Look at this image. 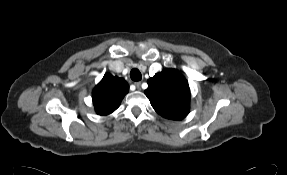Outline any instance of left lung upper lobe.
Returning <instances> with one entry per match:
<instances>
[{"instance_id": "obj_1", "label": "left lung upper lobe", "mask_w": 287, "mask_h": 175, "mask_svg": "<svg viewBox=\"0 0 287 175\" xmlns=\"http://www.w3.org/2000/svg\"><path fill=\"white\" fill-rule=\"evenodd\" d=\"M145 95L154 110L171 120H181L189 113L190 89L185 77L176 69L166 68L148 81Z\"/></svg>"}]
</instances>
